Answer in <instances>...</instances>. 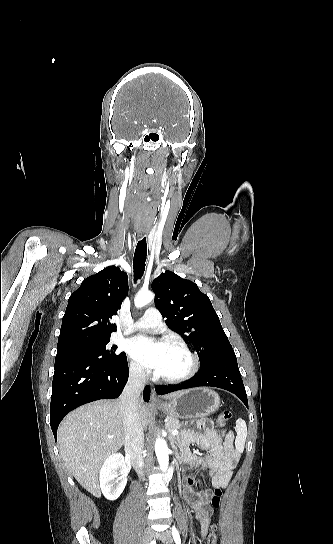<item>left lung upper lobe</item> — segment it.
<instances>
[{
  "label": "left lung upper lobe",
  "mask_w": 333,
  "mask_h": 544,
  "mask_svg": "<svg viewBox=\"0 0 333 544\" xmlns=\"http://www.w3.org/2000/svg\"><path fill=\"white\" fill-rule=\"evenodd\" d=\"M155 305L167 326L195 348L200 367L215 360H237L209 297L171 271L153 280Z\"/></svg>",
  "instance_id": "obj_1"
}]
</instances>
